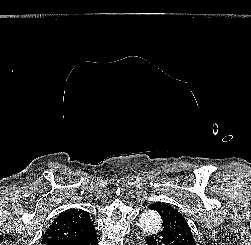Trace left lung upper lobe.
<instances>
[{"mask_svg": "<svg viewBox=\"0 0 251 245\" xmlns=\"http://www.w3.org/2000/svg\"><path fill=\"white\" fill-rule=\"evenodd\" d=\"M149 209L157 211L163 219L161 233H169L182 245H196L192 232L184 217L173 207L165 203H153Z\"/></svg>", "mask_w": 251, "mask_h": 245, "instance_id": "5c2ea615", "label": "left lung upper lobe"}]
</instances>
